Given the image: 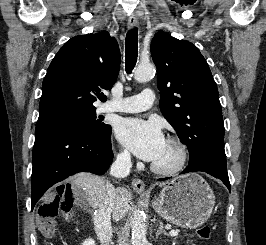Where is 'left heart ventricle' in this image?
<instances>
[{
    "label": "left heart ventricle",
    "mask_w": 266,
    "mask_h": 245,
    "mask_svg": "<svg viewBox=\"0 0 266 245\" xmlns=\"http://www.w3.org/2000/svg\"><path fill=\"white\" fill-rule=\"evenodd\" d=\"M179 157V148L175 144L166 141L153 164L163 169H170L177 165Z\"/></svg>",
    "instance_id": "b2bd125f"
}]
</instances>
